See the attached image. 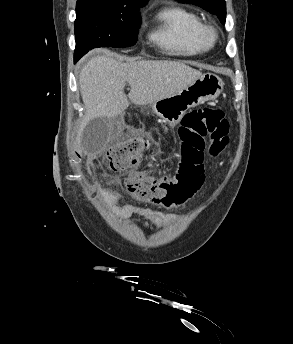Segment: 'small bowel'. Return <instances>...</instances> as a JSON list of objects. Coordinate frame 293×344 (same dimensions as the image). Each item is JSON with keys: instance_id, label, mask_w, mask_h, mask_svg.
Returning <instances> with one entry per match:
<instances>
[{"instance_id": "obj_1", "label": "small bowel", "mask_w": 293, "mask_h": 344, "mask_svg": "<svg viewBox=\"0 0 293 344\" xmlns=\"http://www.w3.org/2000/svg\"><path fill=\"white\" fill-rule=\"evenodd\" d=\"M136 135V134H134ZM204 165L196 169V176L201 179V185L204 182ZM102 193L109 203V207L114 216L119 219H128L133 215H138L146 218L148 224L153 227H159L163 224L171 222L174 217L171 214H167L161 211H155L146 207L134 205V204H124L121 205L122 197L118 192L112 189H102Z\"/></svg>"}]
</instances>
